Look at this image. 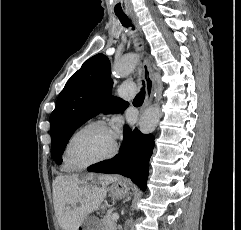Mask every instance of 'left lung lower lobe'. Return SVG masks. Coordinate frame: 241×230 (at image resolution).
Masks as SVG:
<instances>
[{
  "label": "left lung lower lobe",
  "instance_id": "0a47b994",
  "mask_svg": "<svg viewBox=\"0 0 241 230\" xmlns=\"http://www.w3.org/2000/svg\"><path fill=\"white\" fill-rule=\"evenodd\" d=\"M153 148V135H144L137 129L132 132L128 126H125L123 143L119 154L110 160L90 166L88 171L120 174L129 177L145 191L149 171V159Z\"/></svg>",
  "mask_w": 241,
  "mask_h": 230
}]
</instances>
